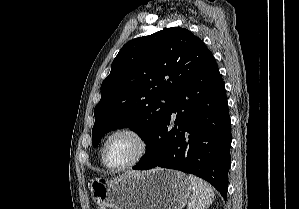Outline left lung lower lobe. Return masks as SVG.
<instances>
[{"mask_svg":"<svg viewBox=\"0 0 299 209\" xmlns=\"http://www.w3.org/2000/svg\"><path fill=\"white\" fill-rule=\"evenodd\" d=\"M172 113L177 116L169 130ZM230 146L225 86L213 57L171 98L146 154L133 169L159 166L191 173L212 184L226 200Z\"/></svg>","mask_w":299,"mask_h":209,"instance_id":"left-lung-lower-lobe-1","label":"left lung lower lobe"}]
</instances>
